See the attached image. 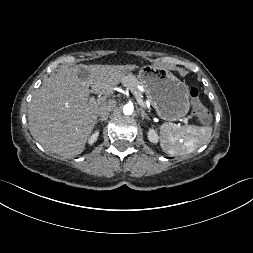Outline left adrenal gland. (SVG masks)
<instances>
[{
    "label": "left adrenal gland",
    "instance_id": "1",
    "mask_svg": "<svg viewBox=\"0 0 253 253\" xmlns=\"http://www.w3.org/2000/svg\"><path fill=\"white\" fill-rule=\"evenodd\" d=\"M139 110L141 112L142 119L146 118L147 120H150L149 116L147 115V113L144 111L143 108H140Z\"/></svg>",
    "mask_w": 253,
    "mask_h": 253
}]
</instances>
